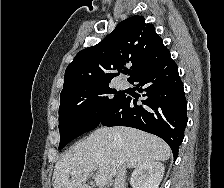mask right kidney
<instances>
[{
  "label": "right kidney",
  "mask_w": 224,
  "mask_h": 188,
  "mask_svg": "<svg viewBox=\"0 0 224 188\" xmlns=\"http://www.w3.org/2000/svg\"><path fill=\"white\" fill-rule=\"evenodd\" d=\"M165 167L161 162L153 161L137 167L130 179L133 188H159Z\"/></svg>",
  "instance_id": "right-kidney-1"
}]
</instances>
